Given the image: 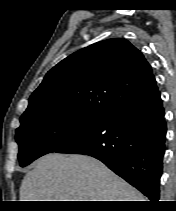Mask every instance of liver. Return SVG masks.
<instances>
[{
  "mask_svg": "<svg viewBox=\"0 0 176 211\" xmlns=\"http://www.w3.org/2000/svg\"><path fill=\"white\" fill-rule=\"evenodd\" d=\"M102 162L79 154L39 158L22 180L20 201H144Z\"/></svg>",
  "mask_w": 176,
  "mask_h": 211,
  "instance_id": "1",
  "label": "liver"
}]
</instances>
